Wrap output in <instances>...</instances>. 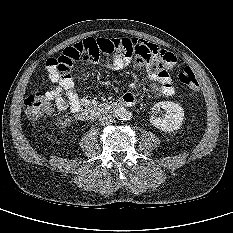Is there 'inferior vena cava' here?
Listing matches in <instances>:
<instances>
[{"instance_id":"1","label":"inferior vena cava","mask_w":233,"mask_h":233,"mask_svg":"<svg viewBox=\"0 0 233 233\" xmlns=\"http://www.w3.org/2000/svg\"><path fill=\"white\" fill-rule=\"evenodd\" d=\"M114 122V119L111 115H102L99 118V123L101 125H109L112 124Z\"/></svg>"}]
</instances>
